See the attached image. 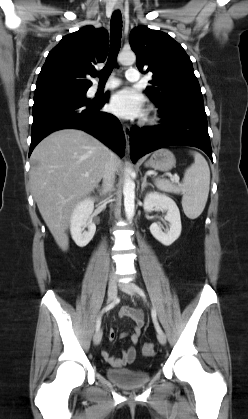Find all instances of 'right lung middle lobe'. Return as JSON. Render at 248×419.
I'll return each instance as SVG.
<instances>
[{
	"label": "right lung middle lobe",
	"instance_id": "dd1d6c3e",
	"mask_svg": "<svg viewBox=\"0 0 248 419\" xmlns=\"http://www.w3.org/2000/svg\"><path fill=\"white\" fill-rule=\"evenodd\" d=\"M86 92L87 90H64V91H58V92L45 94V95H34V99L44 97V96H68V97L86 99Z\"/></svg>",
	"mask_w": 248,
	"mask_h": 419
}]
</instances>
